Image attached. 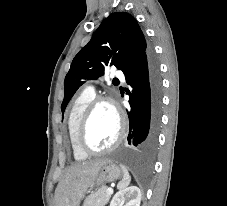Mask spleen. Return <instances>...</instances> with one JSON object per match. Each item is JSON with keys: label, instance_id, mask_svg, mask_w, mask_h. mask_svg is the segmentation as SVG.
Masks as SVG:
<instances>
[{"label": "spleen", "instance_id": "1", "mask_svg": "<svg viewBox=\"0 0 227 206\" xmlns=\"http://www.w3.org/2000/svg\"><path fill=\"white\" fill-rule=\"evenodd\" d=\"M123 171V179L118 183V189H123L130 184L131 177L128 169L124 165H120Z\"/></svg>", "mask_w": 227, "mask_h": 206}]
</instances>
